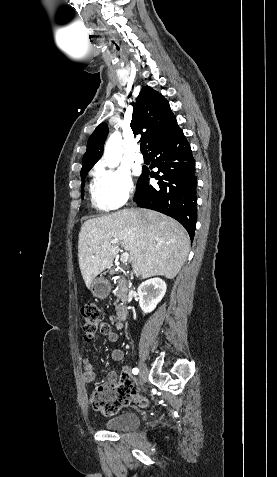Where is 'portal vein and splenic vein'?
Masks as SVG:
<instances>
[{
    "mask_svg": "<svg viewBox=\"0 0 277 477\" xmlns=\"http://www.w3.org/2000/svg\"><path fill=\"white\" fill-rule=\"evenodd\" d=\"M111 243L119 245L118 239L111 240ZM128 259H129V253L128 252H123L122 255H121V258H120L121 262L126 263L128 261Z\"/></svg>",
    "mask_w": 277,
    "mask_h": 477,
    "instance_id": "obj_1",
    "label": "portal vein and splenic vein"
}]
</instances>
